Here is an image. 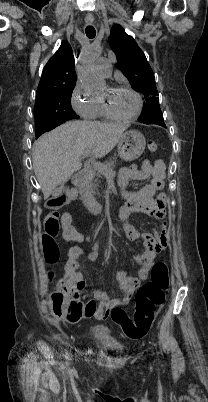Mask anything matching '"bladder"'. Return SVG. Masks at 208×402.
Wrapping results in <instances>:
<instances>
[{"label": "bladder", "mask_w": 208, "mask_h": 402, "mask_svg": "<svg viewBox=\"0 0 208 402\" xmlns=\"http://www.w3.org/2000/svg\"><path fill=\"white\" fill-rule=\"evenodd\" d=\"M108 328L106 326L95 325L90 329L91 337L95 340L96 343L101 347L109 348L114 351L120 350V345L111 341L107 336Z\"/></svg>", "instance_id": "bladder-1"}]
</instances>
